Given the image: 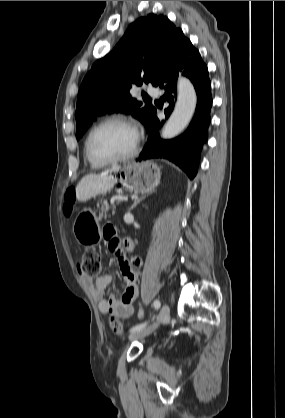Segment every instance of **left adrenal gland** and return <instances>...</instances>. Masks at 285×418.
Listing matches in <instances>:
<instances>
[{"label": "left adrenal gland", "instance_id": "1", "mask_svg": "<svg viewBox=\"0 0 285 418\" xmlns=\"http://www.w3.org/2000/svg\"><path fill=\"white\" fill-rule=\"evenodd\" d=\"M154 189L148 190L145 194H143L140 198L135 199L133 205L130 207V210L134 209L142 200L148 197L150 194L154 193Z\"/></svg>", "mask_w": 285, "mask_h": 418}]
</instances>
